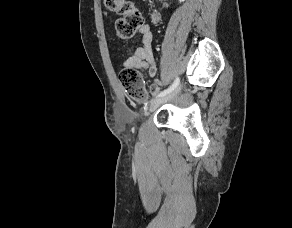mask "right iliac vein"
<instances>
[{"label":"right iliac vein","instance_id":"obj_1","mask_svg":"<svg viewBox=\"0 0 292 228\" xmlns=\"http://www.w3.org/2000/svg\"><path fill=\"white\" fill-rule=\"evenodd\" d=\"M180 88L175 89L173 92H171L168 95H165L163 97L157 98L155 100H153L150 104V111L155 110L156 108H158L161 104H163L164 102L170 100L171 98H173L175 95H177V93L179 92Z\"/></svg>","mask_w":292,"mask_h":228}]
</instances>
